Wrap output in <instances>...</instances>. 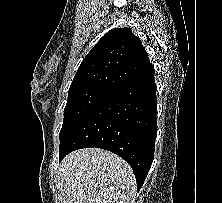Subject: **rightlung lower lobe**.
Wrapping results in <instances>:
<instances>
[{
    "instance_id": "1",
    "label": "right lung lower lobe",
    "mask_w": 222,
    "mask_h": 203,
    "mask_svg": "<svg viewBox=\"0 0 222 203\" xmlns=\"http://www.w3.org/2000/svg\"><path fill=\"white\" fill-rule=\"evenodd\" d=\"M153 65L117 88L60 139L59 161L80 148H101L126 160L141 188L154 158L157 135Z\"/></svg>"
}]
</instances>
